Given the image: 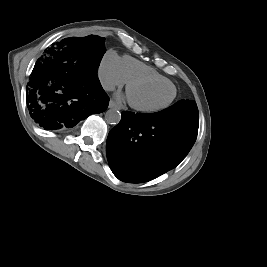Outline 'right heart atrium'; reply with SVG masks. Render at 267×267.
I'll list each match as a JSON object with an SVG mask.
<instances>
[{
	"label": "right heart atrium",
	"instance_id": "right-heart-atrium-1",
	"mask_svg": "<svg viewBox=\"0 0 267 267\" xmlns=\"http://www.w3.org/2000/svg\"><path fill=\"white\" fill-rule=\"evenodd\" d=\"M98 77L103 88L108 91L126 83L121 60L115 52L108 51L105 53L99 64Z\"/></svg>",
	"mask_w": 267,
	"mask_h": 267
}]
</instances>
